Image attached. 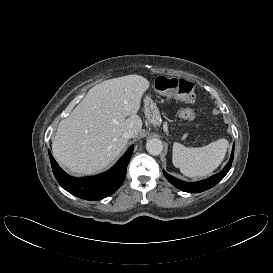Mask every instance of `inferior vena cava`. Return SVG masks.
Returning a JSON list of instances; mask_svg holds the SVG:
<instances>
[{
  "label": "inferior vena cava",
  "instance_id": "inferior-vena-cava-1",
  "mask_svg": "<svg viewBox=\"0 0 273 273\" xmlns=\"http://www.w3.org/2000/svg\"><path fill=\"white\" fill-rule=\"evenodd\" d=\"M135 133L133 130H127L123 133V138L125 139H130L132 137H134Z\"/></svg>",
  "mask_w": 273,
  "mask_h": 273
}]
</instances>
